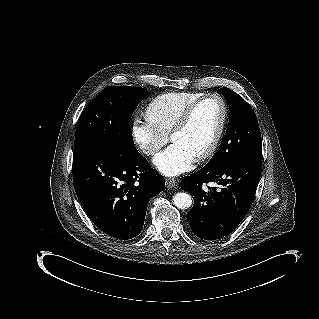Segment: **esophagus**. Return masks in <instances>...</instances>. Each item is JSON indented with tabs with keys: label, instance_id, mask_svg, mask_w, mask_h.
Masks as SVG:
<instances>
[{
	"label": "esophagus",
	"instance_id": "esophagus-1",
	"mask_svg": "<svg viewBox=\"0 0 319 319\" xmlns=\"http://www.w3.org/2000/svg\"><path fill=\"white\" fill-rule=\"evenodd\" d=\"M166 185L168 188H173L177 185V180L175 178H167Z\"/></svg>",
	"mask_w": 319,
	"mask_h": 319
}]
</instances>
